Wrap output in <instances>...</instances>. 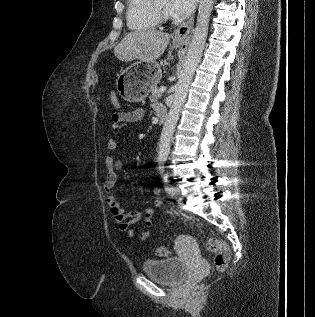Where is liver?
Listing matches in <instances>:
<instances>
[{"label": "liver", "instance_id": "6515ba94", "mask_svg": "<svg viewBox=\"0 0 315 317\" xmlns=\"http://www.w3.org/2000/svg\"><path fill=\"white\" fill-rule=\"evenodd\" d=\"M169 41L170 35L161 31H133L114 48V55L124 62L136 59L147 63L155 62L163 55Z\"/></svg>", "mask_w": 315, "mask_h": 317}]
</instances>
